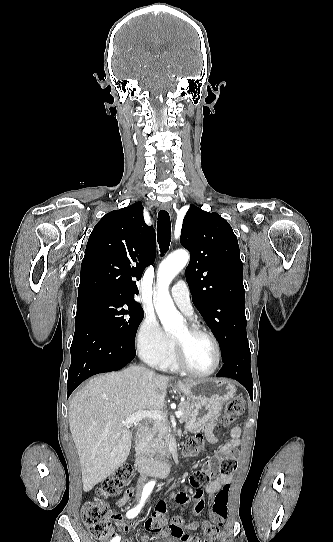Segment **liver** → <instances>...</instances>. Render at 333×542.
Listing matches in <instances>:
<instances>
[{
	"instance_id": "6515ba94",
	"label": "liver",
	"mask_w": 333,
	"mask_h": 542,
	"mask_svg": "<svg viewBox=\"0 0 333 542\" xmlns=\"http://www.w3.org/2000/svg\"><path fill=\"white\" fill-rule=\"evenodd\" d=\"M174 378L148 376L146 368L130 366L91 378L72 398L69 428L77 448L84 492L111 476L126 462L132 442L122 424L137 410H163L166 390ZM191 384L193 380H182Z\"/></svg>"
}]
</instances>
